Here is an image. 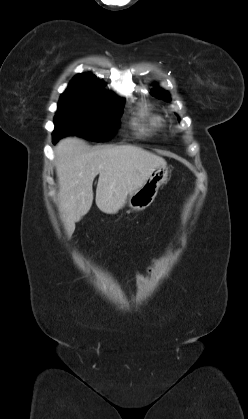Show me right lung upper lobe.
<instances>
[{
	"instance_id": "1",
	"label": "right lung upper lobe",
	"mask_w": 248,
	"mask_h": 419,
	"mask_svg": "<svg viewBox=\"0 0 248 419\" xmlns=\"http://www.w3.org/2000/svg\"><path fill=\"white\" fill-rule=\"evenodd\" d=\"M103 88V82L98 80L93 74H79L70 82L63 94L104 101L120 99L112 91H104Z\"/></svg>"
}]
</instances>
